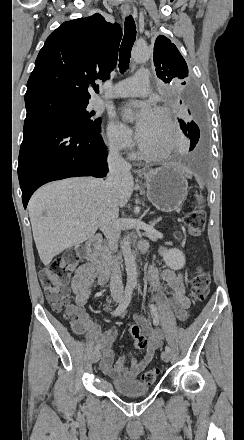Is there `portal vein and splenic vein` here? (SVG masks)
Instances as JSON below:
<instances>
[{
  "instance_id": "obj_1",
  "label": "portal vein and splenic vein",
  "mask_w": 244,
  "mask_h": 440,
  "mask_svg": "<svg viewBox=\"0 0 244 440\" xmlns=\"http://www.w3.org/2000/svg\"><path fill=\"white\" fill-rule=\"evenodd\" d=\"M75 222H76V224H77V222H79V220H75Z\"/></svg>"
}]
</instances>
